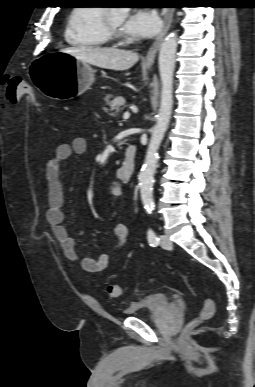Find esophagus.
Listing matches in <instances>:
<instances>
[{
  "label": "esophagus",
  "mask_w": 255,
  "mask_h": 387,
  "mask_svg": "<svg viewBox=\"0 0 255 387\" xmlns=\"http://www.w3.org/2000/svg\"><path fill=\"white\" fill-rule=\"evenodd\" d=\"M173 14H174V9H172V8L163 9V15H164L163 28H162L161 32L159 33V35L156 37L154 43L149 48L147 55L145 56V58L143 60L144 65L150 66L153 64L155 57H156V54H157V52L161 46V43L163 41V38L171 26Z\"/></svg>",
  "instance_id": "obj_1"
}]
</instances>
